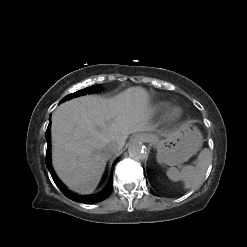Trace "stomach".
<instances>
[{"label": "stomach", "instance_id": "stomach-1", "mask_svg": "<svg viewBox=\"0 0 247 247\" xmlns=\"http://www.w3.org/2000/svg\"><path fill=\"white\" fill-rule=\"evenodd\" d=\"M202 134L192 123L182 124L175 132L165 139H156L157 160L170 166L189 160L202 144Z\"/></svg>", "mask_w": 247, "mask_h": 247}]
</instances>
